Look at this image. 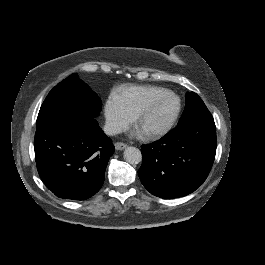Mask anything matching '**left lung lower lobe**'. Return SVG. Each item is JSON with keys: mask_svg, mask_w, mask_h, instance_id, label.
I'll list each match as a JSON object with an SVG mask.
<instances>
[{"mask_svg": "<svg viewBox=\"0 0 265 265\" xmlns=\"http://www.w3.org/2000/svg\"><path fill=\"white\" fill-rule=\"evenodd\" d=\"M216 147V127L209 111L179 121L160 140L141 146L140 180L157 197L186 196L207 178Z\"/></svg>", "mask_w": 265, "mask_h": 265, "instance_id": "obj_1", "label": "left lung lower lobe"}]
</instances>
